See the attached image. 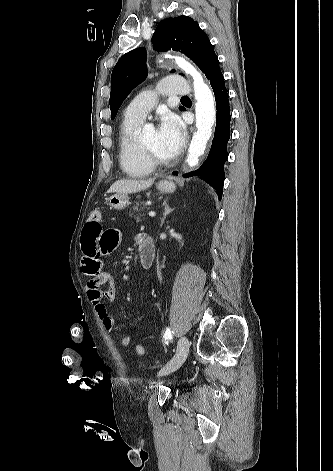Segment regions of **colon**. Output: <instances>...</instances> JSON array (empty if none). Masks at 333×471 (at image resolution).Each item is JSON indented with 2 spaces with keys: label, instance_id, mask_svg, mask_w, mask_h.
Wrapping results in <instances>:
<instances>
[{
  "label": "colon",
  "instance_id": "colon-1",
  "mask_svg": "<svg viewBox=\"0 0 333 471\" xmlns=\"http://www.w3.org/2000/svg\"><path fill=\"white\" fill-rule=\"evenodd\" d=\"M101 218V213L99 210H93L91 213H90V216H89V219L93 222H97L99 221ZM135 351L138 355H143L144 354V347L143 345L141 344H137L135 346Z\"/></svg>",
  "mask_w": 333,
  "mask_h": 471
}]
</instances>
